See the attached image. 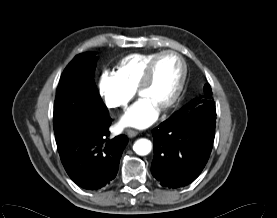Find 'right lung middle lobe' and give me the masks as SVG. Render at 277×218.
I'll list each match as a JSON object with an SVG mask.
<instances>
[{"label": "right lung middle lobe", "instance_id": "1", "mask_svg": "<svg viewBox=\"0 0 277 218\" xmlns=\"http://www.w3.org/2000/svg\"><path fill=\"white\" fill-rule=\"evenodd\" d=\"M95 66V54L82 53L68 64L61 75L58 87L75 83L82 87L80 89L85 96L77 95L81 100L56 97L53 124L57 145L109 114L93 82Z\"/></svg>", "mask_w": 277, "mask_h": 218}]
</instances>
